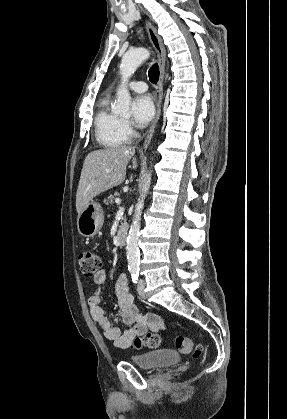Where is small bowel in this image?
Listing matches in <instances>:
<instances>
[{"label": "small bowel", "instance_id": "1", "mask_svg": "<svg viewBox=\"0 0 287 419\" xmlns=\"http://www.w3.org/2000/svg\"><path fill=\"white\" fill-rule=\"evenodd\" d=\"M105 280V270H99L94 275V282L97 286L103 285ZM115 293L117 314L126 326L123 332L118 327L112 326L110 319L105 315L101 306L99 289L90 295L88 306L92 319L103 330L105 336L114 342L116 347L126 349L136 337L144 335L148 330L158 331L163 328V321L159 315L155 313L142 314L139 311L129 291L127 277L123 274L116 281Z\"/></svg>", "mask_w": 287, "mask_h": 419}]
</instances>
